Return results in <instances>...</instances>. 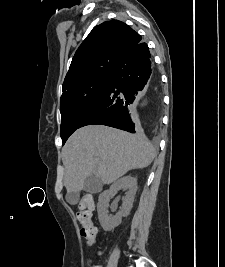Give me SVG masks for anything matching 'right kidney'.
<instances>
[{
  "label": "right kidney",
  "instance_id": "ca27d5eb",
  "mask_svg": "<svg viewBox=\"0 0 225 267\" xmlns=\"http://www.w3.org/2000/svg\"><path fill=\"white\" fill-rule=\"evenodd\" d=\"M119 190L126 191L122 207L116 215L109 216L107 211V208L109 206V200ZM136 191H137V180L136 178L128 175L115 181L110 186L109 190H105L99 195L97 204L98 218L102 228L105 231L113 230L115 227L120 225L122 217L128 216L130 214Z\"/></svg>",
  "mask_w": 225,
  "mask_h": 267
}]
</instances>
